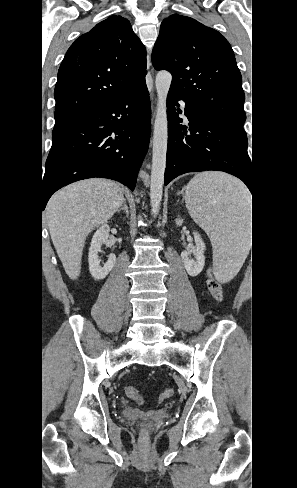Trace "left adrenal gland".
<instances>
[{
	"label": "left adrenal gland",
	"instance_id": "left-adrenal-gland-1",
	"mask_svg": "<svg viewBox=\"0 0 297 488\" xmlns=\"http://www.w3.org/2000/svg\"><path fill=\"white\" fill-rule=\"evenodd\" d=\"M184 190H185V188H183L181 191H179V192L177 193L178 195H180V194H182V195H183V200L185 199V196H184Z\"/></svg>",
	"mask_w": 297,
	"mask_h": 488
}]
</instances>
